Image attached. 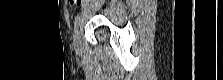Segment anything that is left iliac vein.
<instances>
[{"mask_svg": "<svg viewBox=\"0 0 223 80\" xmlns=\"http://www.w3.org/2000/svg\"><path fill=\"white\" fill-rule=\"evenodd\" d=\"M73 43L75 48L80 47V32L78 28L73 33Z\"/></svg>", "mask_w": 223, "mask_h": 80, "instance_id": "left-iliac-vein-1", "label": "left iliac vein"}]
</instances>
